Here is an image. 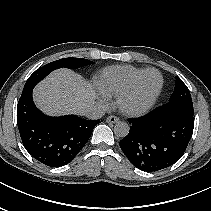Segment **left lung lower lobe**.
Masks as SVG:
<instances>
[{
    "instance_id": "left-lung-lower-lobe-1",
    "label": "left lung lower lobe",
    "mask_w": 211,
    "mask_h": 211,
    "mask_svg": "<svg viewBox=\"0 0 211 211\" xmlns=\"http://www.w3.org/2000/svg\"><path fill=\"white\" fill-rule=\"evenodd\" d=\"M128 121L130 131L120 141V147L135 167L147 172L176 163L184 154L194 128L193 114L160 107Z\"/></svg>"
}]
</instances>
